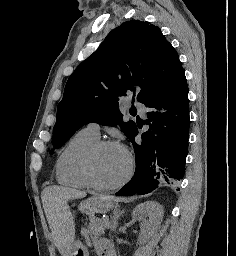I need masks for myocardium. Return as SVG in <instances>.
Returning <instances> with one entry per match:
<instances>
[{
    "label": "myocardium",
    "instance_id": "obj_1",
    "mask_svg": "<svg viewBox=\"0 0 236 256\" xmlns=\"http://www.w3.org/2000/svg\"><path fill=\"white\" fill-rule=\"evenodd\" d=\"M118 146L116 142L113 141H103L96 144V146L90 151L88 154L86 161H85V167H84V174L86 181L90 188L94 189L98 192H112L115 190L120 189L123 187L132 177L133 169H134V161L133 157L130 154L129 151L124 150L126 157H127V170L124 174V176L116 183L112 185H102L100 184L95 176V161L97 156L106 148Z\"/></svg>",
    "mask_w": 236,
    "mask_h": 256
}]
</instances>
